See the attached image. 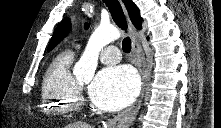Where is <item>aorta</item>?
I'll return each mask as SVG.
<instances>
[{
  "mask_svg": "<svg viewBox=\"0 0 221 128\" xmlns=\"http://www.w3.org/2000/svg\"><path fill=\"white\" fill-rule=\"evenodd\" d=\"M121 32L112 25H100L90 36L85 51L76 63L73 73L84 81H91L98 64L100 51L104 46L119 39Z\"/></svg>",
  "mask_w": 221,
  "mask_h": 128,
  "instance_id": "762f6f07",
  "label": "aorta"
}]
</instances>
